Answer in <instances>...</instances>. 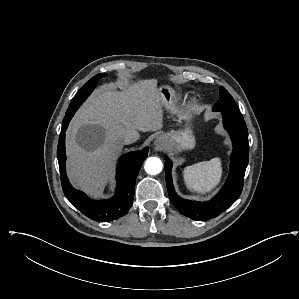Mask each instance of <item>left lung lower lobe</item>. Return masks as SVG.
I'll use <instances>...</instances> for the list:
<instances>
[{"label": "left lung lower lobe", "mask_w": 299, "mask_h": 299, "mask_svg": "<svg viewBox=\"0 0 299 299\" xmlns=\"http://www.w3.org/2000/svg\"><path fill=\"white\" fill-rule=\"evenodd\" d=\"M223 114L224 127L228 130L232 142L230 174L221 191L208 202H193L180 198L174 190L171 179V162L166 159L165 173L169 198L179 212L197 221H206L217 217L229 208L240 196L243 179L249 159L248 131L243 116L227 111Z\"/></svg>", "instance_id": "left-lung-lower-lobe-1"}]
</instances>
